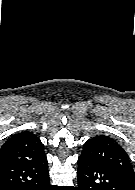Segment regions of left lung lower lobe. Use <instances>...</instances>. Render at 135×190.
Returning <instances> with one entry per match:
<instances>
[{"instance_id":"obj_1","label":"left lung lower lobe","mask_w":135,"mask_h":190,"mask_svg":"<svg viewBox=\"0 0 135 190\" xmlns=\"http://www.w3.org/2000/svg\"><path fill=\"white\" fill-rule=\"evenodd\" d=\"M78 190H135L112 168L93 159L78 158Z\"/></svg>"}]
</instances>
